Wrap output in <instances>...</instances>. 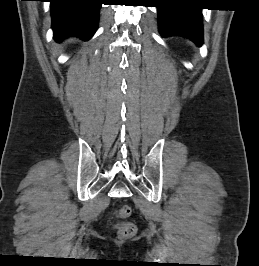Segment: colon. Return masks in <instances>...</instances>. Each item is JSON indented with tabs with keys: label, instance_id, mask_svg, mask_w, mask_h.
Masks as SVG:
<instances>
[{
	"label": "colon",
	"instance_id": "colon-1",
	"mask_svg": "<svg viewBox=\"0 0 259 266\" xmlns=\"http://www.w3.org/2000/svg\"><path fill=\"white\" fill-rule=\"evenodd\" d=\"M131 213H132V210L129 205H121L115 211L116 217L120 219H126L130 217ZM114 227L119 237L123 239L132 237L136 232V226L132 222H129V221L118 222L114 225Z\"/></svg>",
	"mask_w": 259,
	"mask_h": 266
}]
</instances>
